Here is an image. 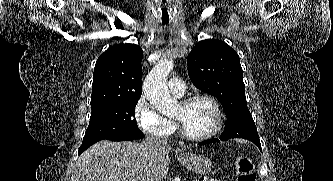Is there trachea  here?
Returning <instances> with one entry per match:
<instances>
[{"instance_id": "3493384b", "label": "trachea", "mask_w": 333, "mask_h": 181, "mask_svg": "<svg viewBox=\"0 0 333 181\" xmlns=\"http://www.w3.org/2000/svg\"><path fill=\"white\" fill-rule=\"evenodd\" d=\"M162 23H163V24H168V21H163Z\"/></svg>"}]
</instances>
